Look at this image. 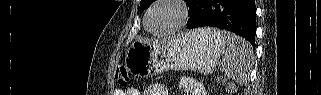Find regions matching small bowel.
Masks as SVG:
<instances>
[{"instance_id": "c3829d8e", "label": "small bowel", "mask_w": 321, "mask_h": 95, "mask_svg": "<svg viewBox=\"0 0 321 95\" xmlns=\"http://www.w3.org/2000/svg\"><path fill=\"white\" fill-rule=\"evenodd\" d=\"M127 95H168L166 87L162 84H152L149 88L141 93L136 89L130 88L126 91ZM196 95H204V90L202 87H198L196 90Z\"/></svg>"}]
</instances>
